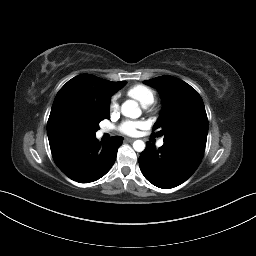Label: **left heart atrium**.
Here are the masks:
<instances>
[{
	"label": "left heart atrium",
	"mask_w": 256,
	"mask_h": 256,
	"mask_svg": "<svg viewBox=\"0 0 256 256\" xmlns=\"http://www.w3.org/2000/svg\"><path fill=\"white\" fill-rule=\"evenodd\" d=\"M145 124L142 121L126 120L119 126V131L125 135H136L139 129H142Z\"/></svg>",
	"instance_id": "obj_1"
}]
</instances>
